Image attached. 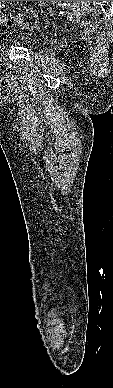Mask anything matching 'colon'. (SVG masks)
I'll return each instance as SVG.
<instances>
[{
	"label": "colon",
	"instance_id": "5ec220e1",
	"mask_svg": "<svg viewBox=\"0 0 113 388\" xmlns=\"http://www.w3.org/2000/svg\"><path fill=\"white\" fill-rule=\"evenodd\" d=\"M2 5L0 3V24L4 26H14L16 24L21 23L22 18L20 15L9 14L3 15L1 14Z\"/></svg>",
	"mask_w": 113,
	"mask_h": 388
}]
</instances>
